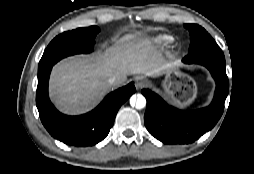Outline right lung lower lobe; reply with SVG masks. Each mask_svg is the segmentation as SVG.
<instances>
[{"instance_id": "right-lung-lower-lobe-1", "label": "right lung lower lobe", "mask_w": 254, "mask_h": 174, "mask_svg": "<svg viewBox=\"0 0 254 174\" xmlns=\"http://www.w3.org/2000/svg\"><path fill=\"white\" fill-rule=\"evenodd\" d=\"M52 66L38 75L36 105L46 130L61 142L77 147L92 146L103 140L113 126L120 106L136 89L133 83L110 93L91 112L81 116L61 114L48 97V81Z\"/></svg>"}]
</instances>
